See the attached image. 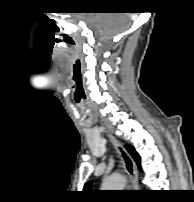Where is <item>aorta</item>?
Returning a JSON list of instances; mask_svg holds the SVG:
<instances>
[{
	"instance_id": "obj_1",
	"label": "aorta",
	"mask_w": 194,
	"mask_h": 202,
	"mask_svg": "<svg viewBox=\"0 0 194 202\" xmlns=\"http://www.w3.org/2000/svg\"><path fill=\"white\" fill-rule=\"evenodd\" d=\"M125 178L120 175H112L103 180L102 188L105 190H122L125 187Z\"/></svg>"
}]
</instances>
